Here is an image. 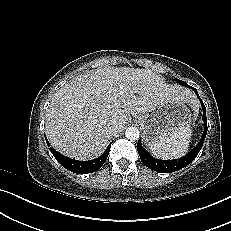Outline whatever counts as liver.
<instances>
[{
  "label": "liver",
  "mask_w": 231,
  "mask_h": 231,
  "mask_svg": "<svg viewBox=\"0 0 231 231\" xmlns=\"http://www.w3.org/2000/svg\"><path fill=\"white\" fill-rule=\"evenodd\" d=\"M190 97L189 90L166 84L150 69L108 66L73 78L55 93L46 114V136L67 157L94 159L131 114ZM109 126H116V134L108 132Z\"/></svg>",
  "instance_id": "1"
}]
</instances>
